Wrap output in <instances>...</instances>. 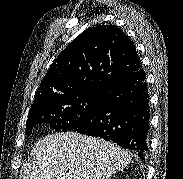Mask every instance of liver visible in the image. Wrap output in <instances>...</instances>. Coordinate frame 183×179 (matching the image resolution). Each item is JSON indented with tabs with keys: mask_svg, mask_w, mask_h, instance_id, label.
<instances>
[{
	"mask_svg": "<svg viewBox=\"0 0 183 179\" xmlns=\"http://www.w3.org/2000/svg\"><path fill=\"white\" fill-rule=\"evenodd\" d=\"M130 161L129 152L112 142L56 133L35 143L22 179H108Z\"/></svg>",
	"mask_w": 183,
	"mask_h": 179,
	"instance_id": "1",
	"label": "liver"
}]
</instances>
